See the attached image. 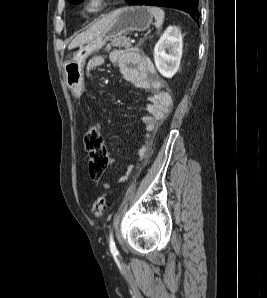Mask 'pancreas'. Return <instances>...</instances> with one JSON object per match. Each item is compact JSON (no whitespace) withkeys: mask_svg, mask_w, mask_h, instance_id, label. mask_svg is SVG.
Returning <instances> with one entry per match:
<instances>
[{"mask_svg":"<svg viewBox=\"0 0 267 298\" xmlns=\"http://www.w3.org/2000/svg\"><path fill=\"white\" fill-rule=\"evenodd\" d=\"M111 46L113 47H119V48H129L131 46L130 38L119 36L114 38V40L111 42V45L107 48L108 50L111 49Z\"/></svg>","mask_w":267,"mask_h":298,"instance_id":"pancreas-1","label":"pancreas"}]
</instances>
